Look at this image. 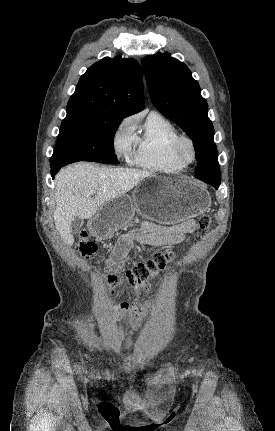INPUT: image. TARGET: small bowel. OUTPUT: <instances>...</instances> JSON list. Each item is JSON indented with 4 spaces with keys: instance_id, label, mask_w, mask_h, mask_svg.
<instances>
[{
    "instance_id": "obj_1",
    "label": "small bowel",
    "mask_w": 275,
    "mask_h": 431,
    "mask_svg": "<svg viewBox=\"0 0 275 431\" xmlns=\"http://www.w3.org/2000/svg\"><path fill=\"white\" fill-rule=\"evenodd\" d=\"M194 230L195 222L192 219L169 227L157 225L152 222H145L142 231L134 233L133 235L123 236L116 243L110 257V264L113 267H119L121 265L133 239L152 246L175 245L184 241L186 236L194 232ZM149 307V304H121L120 314L125 323L124 335L127 343H129L133 333L141 327L144 319L149 316Z\"/></svg>"
}]
</instances>
